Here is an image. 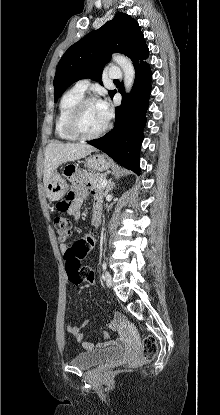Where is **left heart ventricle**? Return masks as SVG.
Returning a JSON list of instances; mask_svg holds the SVG:
<instances>
[{"instance_id": "obj_1", "label": "left heart ventricle", "mask_w": 220, "mask_h": 415, "mask_svg": "<svg viewBox=\"0 0 220 415\" xmlns=\"http://www.w3.org/2000/svg\"><path fill=\"white\" fill-rule=\"evenodd\" d=\"M106 123L102 118L97 103L87 105L79 120L80 129L86 134L98 132Z\"/></svg>"}]
</instances>
